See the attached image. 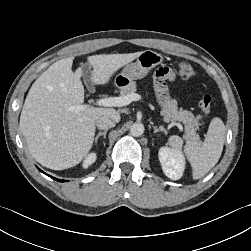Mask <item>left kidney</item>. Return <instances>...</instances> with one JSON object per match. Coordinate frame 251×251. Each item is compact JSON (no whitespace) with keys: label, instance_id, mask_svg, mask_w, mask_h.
I'll use <instances>...</instances> for the list:
<instances>
[{"label":"left kidney","instance_id":"1","mask_svg":"<svg viewBox=\"0 0 251 251\" xmlns=\"http://www.w3.org/2000/svg\"><path fill=\"white\" fill-rule=\"evenodd\" d=\"M158 156L162 170L168 178L178 180L182 177L186 162L180 150L162 147L158 152Z\"/></svg>","mask_w":251,"mask_h":251}]
</instances>
